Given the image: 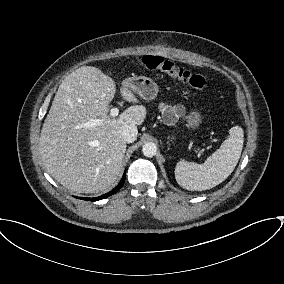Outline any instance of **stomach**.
Instances as JSON below:
<instances>
[{
  "label": "stomach",
  "instance_id": "stomach-1",
  "mask_svg": "<svg viewBox=\"0 0 284 284\" xmlns=\"http://www.w3.org/2000/svg\"><path fill=\"white\" fill-rule=\"evenodd\" d=\"M123 84L132 91L139 94L145 100H152L157 96L158 85L151 78L146 76H133L126 78ZM187 127L196 129L201 123L199 112H192L187 117Z\"/></svg>",
  "mask_w": 284,
  "mask_h": 284
}]
</instances>
